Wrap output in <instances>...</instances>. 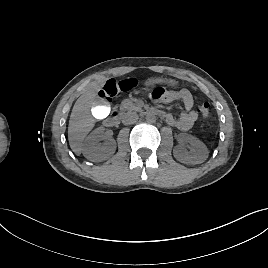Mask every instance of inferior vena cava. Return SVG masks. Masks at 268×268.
<instances>
[{
  "label": "inferior vena cava",
  "instance_id": "602c4592",
  "mask_svg": "<svg viewBox=\"0 0 268 268\" xmlns=\"http://www.w3.org/2000/svg\"><path fill=\"white\" fill-rule=\"evenodd\" d=\"M138 120V115L135 112H128L122 118V123L125 125L134 124Z\"/></svg>",
  "mask_w": 268,
  "mask_h": 268
}]
</instances>
